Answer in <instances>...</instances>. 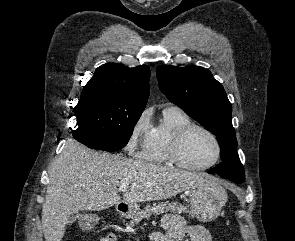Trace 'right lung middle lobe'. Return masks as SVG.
<instances>
[{"label": "right lung middle lobe", "instance_id": "right-lung-middle-lobe-1", "mask_svg": "<svg viewBox=\"0 0 295 241\" xmlns=\"http://www.w3.org/2000/svg\"><path fill=\"white\" fill-rule=\"evenodd\" d=\"M144 107L94 91L74 108L77 125L73 137L92 149L117 151L130 139Z\"/></svg>", "mask_w": 295, "mask_h": 241}]
</instances>
